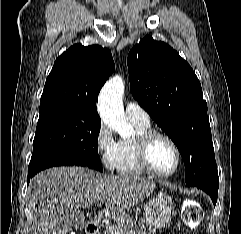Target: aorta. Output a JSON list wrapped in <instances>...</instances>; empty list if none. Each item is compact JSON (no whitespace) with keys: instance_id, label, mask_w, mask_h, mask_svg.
Masks as SVG:
<instances>
[{"instance_id":"aorta-1","label":"aorta","mask_w":241,"mask_h":234,"mask_svg":"<svg viewBox=\"0 0 241 234\" xmlns=\"http://www.w3.org/2000/svg\"><path fill=\"white\" fill-rule=\"evenodd\" d=\"M124 82L122 77L114 76L103 86L99 99L98 111L102 121L122 138H129L133 127L128 123L122 104Z\"/></svg>"}]
</instances>
